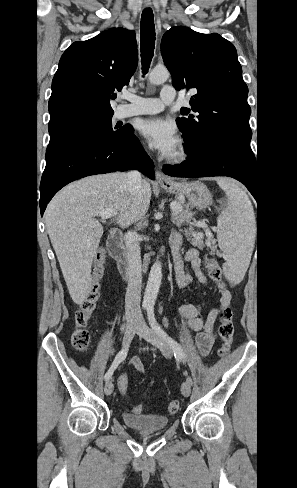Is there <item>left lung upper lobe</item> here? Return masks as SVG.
Wrapping results in <instances>:
<instances>
[{
	"label": "left lung upper lobe",
	"mask_w": 297,
	"mask_h": 488,
	"mask_svg": "<svg viewBox=\"0 0 297 488\" xmlns=\"http://www.w3.org/2000/svg\"><path fill=\"white\" fill-rule=\"evenodd\" d=\"M173 86L196 89L189 108L177 118L189 156L208 147H222L252 156L248 87L236 48L217 33L201 34L179 26L161 43Z\"/></svg>",
	"instance_id": "1"
}]
</instances>
